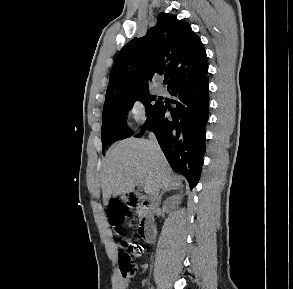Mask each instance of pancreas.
I'll use <instances>...</instances> for the list:
<instances>
[{
	"mask_svg": "<svg viewBox=\"0 0 293 289\" xmlns=\"http://www.w3.org/2000/svg\"><path fill=\"white\" fill-rule=\"evenodd\" d=\"M140 214H143V211L142 210H140V212H139Z\"/></svg>",
	"mask_w": 293,
	"mask_h": 289,
	"instance_id": "obj_1",
	"label": "pancreas"
}]
</instances>
